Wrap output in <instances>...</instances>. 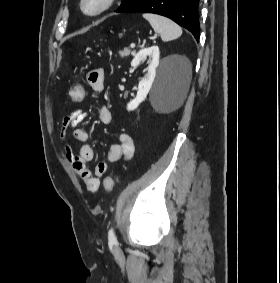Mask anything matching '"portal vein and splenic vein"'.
<instances>
[{"label": "portal vein and splenic vein", "instance_id": "1", "mask_svg": "<svg viewBox=\"0 0 280 283\" xmlns=\"http://www.w3.org/2000/svg\"><path fill=\"white\" fill-rule=\"evenodd\" d=\"M157 37V34L156 35H154V38H156ZM131 48H135V44H131V46H130Z\"/></svg>", "mask_w": 280, "mask_h": 283}]
</instances>
